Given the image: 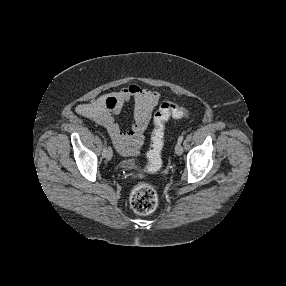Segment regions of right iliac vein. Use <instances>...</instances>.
Listing matches in <instances>:
<instances>
[{"instance_id":"right-iliac-vein-1","label":"right iliac vein","mask_w":286,"mask_h":286,"mask_svg":"<svg viewBox=\"0 0 286 286\" xmlns=\"http://www.w3.org/2000/svg\"><path fill=\"white\" fill-rule=\"evenodd\" d=\"M112 155H113L112 149L111 147H108L106 150L105 158L109 161L112 159Z\"/></svg>"}]
</instances>
